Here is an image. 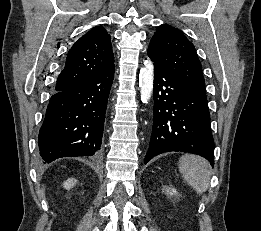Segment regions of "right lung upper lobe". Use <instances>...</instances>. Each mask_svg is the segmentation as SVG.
Returning a JSON list of instances; mask_svg holds the SVG:
<instances>
[{
	"label": "right lung upper lobe",
	"instance_id": "1",
	"mask_svg": "<svg viewBox=\"0 0 261 231\" xmlns=\"http://www.w3.org/2000/svg\"><path fill=\"white\" fill-rule=\"evenodd\" d=\"M114 67L111 37L96 26L79 38L69 50L55 91H63L97 77Z\"/></svg>",
	"mask_w": 261,
	"mask_h": 231
}]
</instances>
